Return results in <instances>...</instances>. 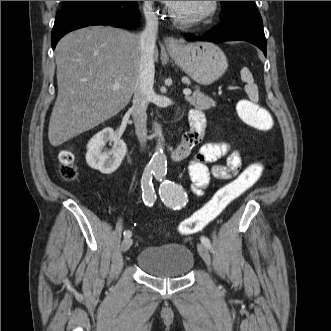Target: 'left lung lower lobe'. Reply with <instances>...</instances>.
I'll list each match as a JSON object with an SVG mask.
<instances>
[{
    "mask_svg": "<svg viewBox=\"0 0 331 331\" xmlns=\"http://www.w3.org/2000/svg\"><path fill=\"white\" fill-rule=\"evenodd\" d=\"M185 38L188 41H248L260 48L266 56L267 44L259 13L225 19L203 36L187 34Z\"/></svg>",
    "mask_w": 331,
    "mask_h": 331,
    "instance_id": "left-lung-lower-lobe-1",
    "label": "left lung lower lobe"
}]
</instances>
